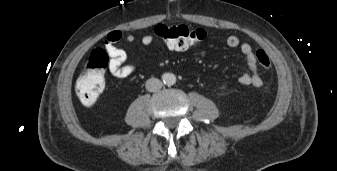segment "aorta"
<instances>
[{
	"mask_svg": "<svg viewBox=\"0 0 337 171\" xmlns=\"http://www.w3.org/2000/svg\"><path fill=\"white\" fill-rule=\"evenodd\" d=\"M164 82L167 85H173V84L176 83V76L174 74H172V73H167L164 76Z\"/></svg>",
	"mask_w": 337,
	"mask_h": 171,
	"instance_id": "1",
	"label": "aorta"
}]
</instances>
